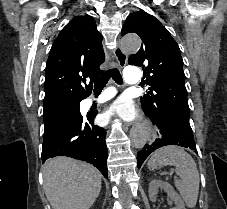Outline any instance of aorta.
Here are the masks:
<instances>
[{"label": "aorta", "mask_w": 227, "mask_h": 209, "mask_svg": "<svg viewBox=\"0 0 227 209\" xmlns=\"http://www.w3.org/2000/svg\"><path fill=\"white\" fill-rule=\"evenodd\" d=\"M122 48L126 52H136L140 45L141 40L136 35H128L122 39L121 42ZM148 138V131L144 127H139L133 130L131 134L132 145L136 148H142Z\"/></svg>", "instance_id": "762f6f07"}]
</instances>
